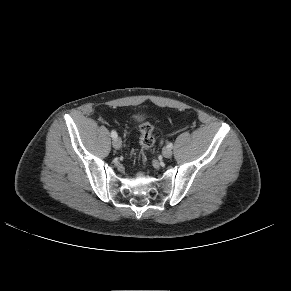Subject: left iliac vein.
Returning <instances> with one entry per match:
<instances>
[{"instance_id": "4c4485c4", "label": "left iliac vein", "mask_w": 291, "mask_h": 291, "mask_svg": "<svg viewBox=\"0 0 291 291\" xmlns=\"http://www.w3.org/2000/svg\"><path fill=\"white\" fill-rule=\"evenodd\" d=\"M162 153L165 158H170L172 156V150L168 147L164 148Z\"/></svg>"}]
</instances>
